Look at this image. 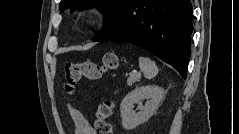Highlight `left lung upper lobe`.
Here are the masks:
<instances>
[{
	"instance_id": "1",
	"label": "left lung upper lobe",
	"mask_w": 239,
	"mask_h": 134,
	"mask_svg": "<svg viewBox=\"0 0 239 134\" xmlns=\"http://www.w3.org/2000/svg\"><path fill=\"white\" fill-rule=\"evenodd\" d=\"M129 0H61L59 9L64 11L67 8L83 10L85 8L97 7L104 15L105 29L112 26L118 19L125 4ZM99 34L100 32H95Z\"/></svg>"
}]
</instances>
